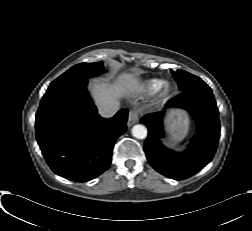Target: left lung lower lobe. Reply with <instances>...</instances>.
Masks as SVG:
<instances>
[{"label":"left lung lower lobe","mask_w":252,"mask_h":231,"mask_svg":"<svg viewBox=\"0 0 252 231\" xmlns=\"http://www.w3.org/2000/svg\"><path fill=\"white\" fill-rule=\"evenodd\" d=\"M169 107L187 109L197 122V133L188 150L177 153L162 145L164 112H157L141 118V122L148 127L144 151L157 172L182 180L194 175L212 160L220 135L219 114L210 87L182 91L167 102L166 108Z\"/></svg>","instance_id":"obj_1"}]
</instances>
